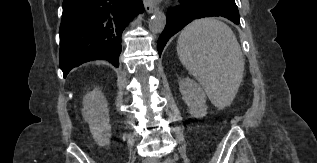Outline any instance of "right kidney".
<instances>
[{
	"mask_svg": "<svg viewBox=\"0 0 317 163\" xmlns=\"http://www.w3.org/2000/svg\"><path fill=\"white\" fill-rule=\"evenodd\" d=\"M82 115L89 124L95 142L99 146L108 145L111 136L108 103L104 94L98 88L84 96Z\"/></svg>",
	"mask_w": 317,
	"mask_h": 163,
	"instance_id": "1",
	"label": "right kidney"
}]
</instances>
